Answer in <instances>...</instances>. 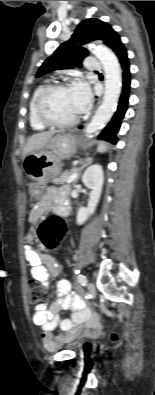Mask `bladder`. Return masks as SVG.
<instances>
[{"mask_svg":"<svg viewBox=\"0 0 155 395\" xmlns=\"http://www.w3.org/2000/svg\"><path fill=\"white\" fill-rule=\"evenodd\" d=\"M94 346L92 339H79L67 343L64 348L74 352L88 353L94 349Z\"/></svg>","mask_w":155,"mask_h":395,"instance_id":"1","label":"bladder"}]
</instances>
